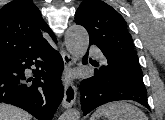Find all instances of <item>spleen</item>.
<instances>
[{"label": "spleen", "mask_w": 165, "mask_h": 120, "mask_svg": "<svg viewBox=\"0 0 165 120\" xmlns=\"http://www.w3.org/2000/svg\"><path fill=\"white\" fill-rule=\"evenodd\" d=\"M105 116L108 120H148L147 116L138 107L130 103L119 101L99 107L90 120Z\"/></svg>", "instance_id": "spleen-1"}]
</instances>
